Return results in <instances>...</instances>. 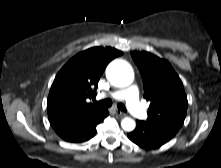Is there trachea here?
I'll use <instances>...</instances> for the list:
<instances>
[{"instance_id":"3493384b","label":"trachea","mask_w":221,"mask_h":168,"mask_svg":"<svg viewBox=\"0 0 221 168\" xmlns=\"http://www.w3.org/2000/svg\"><path fill=\"white\" fill-rule=\"evenodd\" d=\"M101 106H105V107H110V106H112V100L111 99H105V100H102V101H99L98 102ZM117 107L121 110V111H123V112H126V108H125V106L122 104V103H119L118 105H117Z\"/></svg>"}]
</instances>
